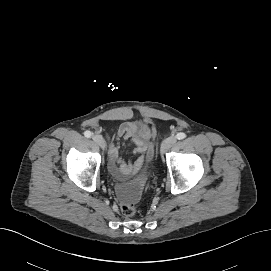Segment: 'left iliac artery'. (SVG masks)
<instances>
[{"label":"left iliac artery","instance_id":"1","mask_svg":"<svg viewBox=\"0 0 271 271\" xmlns=\"http://www.w3.org/2000/svg\"><path fill=\"white\" fill-rule=\"evenodd\" d=\"M177 139L181 140V139H184L186 137V134L183 133V132H180L176 135Z\"/></svg>","mask_w":271,"mask_h":271}]
</instances>
